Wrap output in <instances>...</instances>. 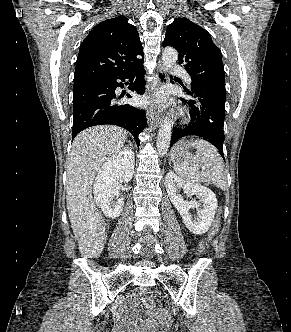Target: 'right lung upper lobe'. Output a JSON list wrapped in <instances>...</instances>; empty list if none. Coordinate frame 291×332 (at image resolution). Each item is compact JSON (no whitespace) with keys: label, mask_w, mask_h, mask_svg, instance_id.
I'll return each mask as SVG.
<instances>
[{"label":"right lung upper lobe","mask_w":291,"mask_h":332,"mask_svg":"<svg viewBox=\"0 0 291 332\" xmlns=\"http://www.w3.org/2000/svg\"><path fill=\"white\" fill-rule=\"evenodd\" d=\"M137 29L128 18L118 16L96 25L80 46L74 83L99 75H116L143 62Z\"/></svg>","instance_id":"1"}]
</instances>
